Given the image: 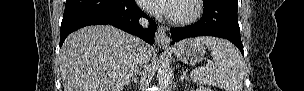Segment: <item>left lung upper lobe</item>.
Here are the masks:
<instances>
[{
    "label": "left lung upper lobe",
    "instance_id": "obj_1",
    "mask_svg": "<svg viewBox=\"0 0 304 91\" xmlns=\"http://www.w3.org/2000/svg\"><path fill=\"white\" fill-rule=\"evenodd\" d=\"M206 1H208V0H203V2H206Z\"/></svg>",
    "mask_w": 304,
    "mask_h": 91
}]
</instances>
